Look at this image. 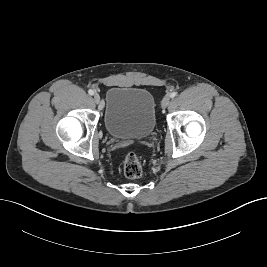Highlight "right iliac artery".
<instances>
[{
	"label": "right iliac artery",
	"mask_w": 267,
	"mask_h": 267,
	"mask_svg": "<svg viewBox=\"0 0 267 267\" xmlns=\"http://www.w3.org/2000/svg\"><path fill=\"white\" fill-rule=\"evenodd\" d=\"M88 93H89L90 95H94V91H93L92 89H90V90L88 91Z\"/></svg>",
	"instance_id": "1"
}]
</instances>
